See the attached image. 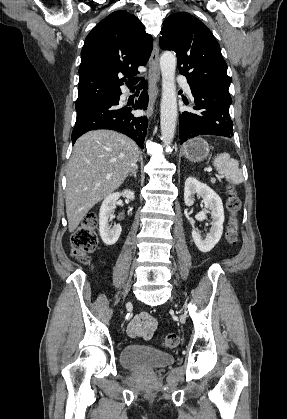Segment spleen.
<instances>
[{"mask_svg":"<svg viewBox=\"0 0 287 419\" xmlns=\"http://www.w3.org/2000/svg\"><path fill=\"white\" fill-rule=\"evenodd\" d=\"M213 166L228 182L240 184L244 180L242 171L239 169L238 160L231 158L228 153L218 154L213 159Z\"/></svg>","mask_w":287,"mask_h":419,"instance_id":"1","label":"spleen"}]
</instances>
